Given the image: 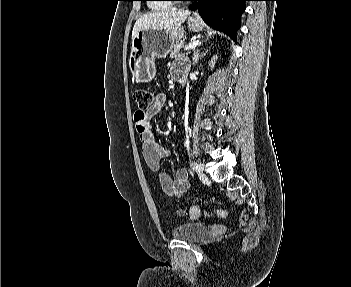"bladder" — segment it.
<instances>
[{
    "label": "bladder",
    "instance_id": "31cf9c89",
    "mask_svg": "<svg viewBox=\"0 0 351 287\" xmlns=\"http://www.w3.org/2000/svg\"><path fill=\"white\" fill-rule=\"evenodd\" d=\"M207 232L208 228L202 222L189 221L176 226L172 230V236L177 239L195 242L202 239Z\"/></svg>",
    "mask_w": 351,
    "mask_h": 287
}]
</instances>
